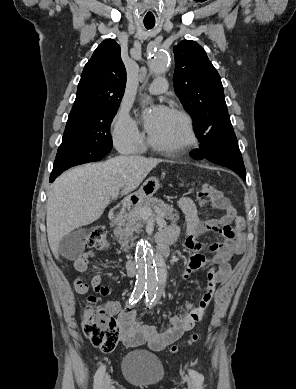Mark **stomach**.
I'll return each instance as SVG.
<instances>
[{
	"instance_id": "stomach-1",
	"label": "stomach",
	"mask_w": 296,
	"mask_h": 389,
	"mask_svg": "<svg viewBox=\"0 0 296 389\" xmlns=\"http://www.w3.org/2000/svg\"><path fill=\"white\" fill-rule=\"evenodd\" d=\"M158 188L159 181L156 178H150L143 184L136 196L141 200L149 199L153 196Z\"/></svg>"
}]
</instances>
